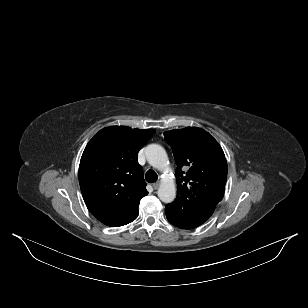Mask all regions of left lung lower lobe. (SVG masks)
<instances>
[{"label": "left lung lower lobe", "mask_w": 308, "mask_h": 308, "mask_svg": "<svg viewBox=\"0 0 308 308\" xmlns=\"http://www.w3.org/2000/svg\"><path fill=\"white\" fill-rule=\"evenodd\" d=\"M213 211L214 208L187 218H176L168 215L166 216L168 221L174 226L182 229H192L203 224L212 215Z\"/></svg>", "instance_id": "obj_1"}]
</instances>
